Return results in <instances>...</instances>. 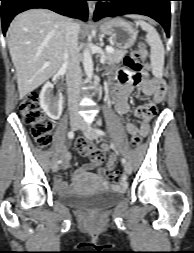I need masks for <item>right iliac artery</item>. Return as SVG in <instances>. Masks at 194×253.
Returning <instances> with one entry per match:
<instances>
[{
	"label": "right iliac artery",
	"instance_id": "1",
	"mask_svg": "<svg viewBox=\"0 0 194 253\" xmlns=\"http://www.w3.org/2000/svg\"><path fill=\"white\" fill-rule=\"evenodd\" d=\"M68 138H69V139H73V138H74V132H73V131H70V132L68 133ZM57 163H58V164L62 163V160H58Z\"/></svg>",
	"mask_w": 194,
	"mask_h": 253
}]
</instances>
